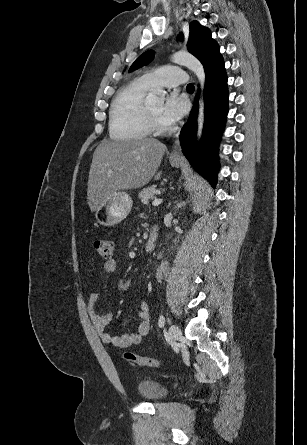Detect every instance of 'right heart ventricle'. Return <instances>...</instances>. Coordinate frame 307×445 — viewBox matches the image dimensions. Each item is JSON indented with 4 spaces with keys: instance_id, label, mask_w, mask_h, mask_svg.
Masks as SVG:
<instances>
[{
    "instance_id": "e07e8e85",
    "label": "right heart ventricle",
    "mask_w": 307,
    "mask_h": 445,
    "mask_svg": "<svg viewBox=\"0 0 307 445\" xmlns=\"http://www.w3.org/2000/svg\"><path fill=\"white\" fill-rule=\"evenodd\" d=\"M151 86L146 79L136 81L114 98L109 120L112 139L149 140L146 136L151 129L144 108Z\"/></svg>"
}]
</instances>
